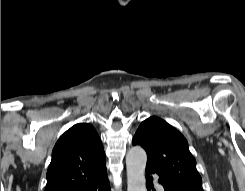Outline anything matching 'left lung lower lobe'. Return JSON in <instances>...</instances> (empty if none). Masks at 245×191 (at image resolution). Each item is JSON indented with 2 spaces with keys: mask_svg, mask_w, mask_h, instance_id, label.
<instances>
[{
  "mask_svg": "<svg viewBox=\"0 0 245 191\" xmlns=\"http://www.w3.org/2000/svg\"><path fill=\"white\" fill-rule=\"evenodd\" d=\"M153 174H155V172L146 169V180H147L149 191H151V190L155 191V189H153V184H152V180H153L152 175ZM159 183L163 185L164 191H188L182 187H179V186L167 181L165 178L160 177V176H159Z\"/></svg>",
  "mask_w": 245,
  "mask_h": 191,
  "instance_id": "left-lung-lower-lobe-1",
  "label": "left lung lower lobe"
}]
</instances>
